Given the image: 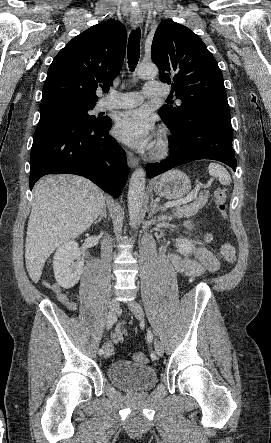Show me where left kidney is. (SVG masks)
Returning <instances> with one entry per match:
<instances>
[{
	"mask_svg": "<svg viewBox=\"0 0 271 443\" xmlns=\"http://www.w3.org/2000/svg\"><path fill=\"white\" fill-rule=\"evenodd\" d=\"M193 245V241H189V239H186V237L176 239V247H178L177 251H179V253H183V255H188V253H191Z\"/></svg>",
	"mask_w": 271,
	"mask_h": 443,
	"instance_id": "obj_1",
	"label": "left kidney"
}]
</instances>
